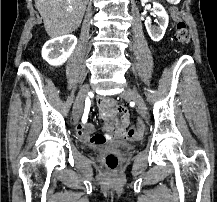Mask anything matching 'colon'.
<instances>
[{
    "mask_svg": "<svg viewBox=\"0 0 217 202\" xmlns=\"http://www.w3.org/2000/svg\"><path fill=\"white\" fill-rule=\"evenodd\" d=\"M174 20V37L176 41L180 43H186L189 41V34L187 31L186 23L177 15L173 17ZM137 127L130 128V135H135ZM119 158L116 154L110 153L105 157V165L109 169H115L118 166Z\"/></svg>",
    "mask_w": 217,
    "mask_h": 202,
    "instance_id": "colon-1",
    "label": "colon"
}]
</instances>
